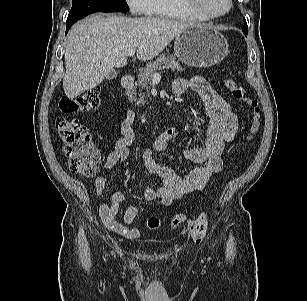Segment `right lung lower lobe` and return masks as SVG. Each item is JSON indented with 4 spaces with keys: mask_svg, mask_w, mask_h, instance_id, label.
<instances>
[{
    "mask_svg": "<svg viewBox=\"0 0 307 301\" xmlns=\"http://www.w3.org/2000/svg\"><path fill=\"white\" fill-rule=\"evenodd\" d=\"M76 21H77V20H73V21L66 22V34H67L68 30L70 29V27H71Z\"/></svg>",
    "mask_w": 307,
    "mask_h": 301,
    "instance_id": "obj_1",
    "label": "right lung lower lobe"
}]
</instances>
